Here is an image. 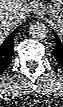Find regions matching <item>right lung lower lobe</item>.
I'll return each mask as SVG.
<instances>
[{
    "mask_svg": "<svg viewBox=\"0 0 63 107\" xmlns=\"http://www.w3.org/2000/svg\"><path fill=\"white\" fill-rule=\"evenodd\" d=\"M17 29L14 30L0 45V74L7 69L12 59L13 38Z\"/></svg>",
    "mask_w": 63,
    "mask_h": 107,
    "instance_id": "obj_1",
    "label": "right lung lower lobe"
}]
</instances>
